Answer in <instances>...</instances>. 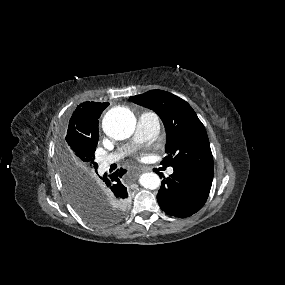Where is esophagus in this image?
<instances>
[{
    "label": "esophagus",
    "instance_id": "34e87169",
    "mask_svg": "<svg viewBox=\"0 0 285 285\" xmlns=\"http://www.w3.org/2000/svg\"><path fill=\"white\" fill-rule=\"evenodd\" d=\"M141 171L142 172H149V171H151V168L147 167V166H143V167H141Z\"/></svg>",
    "mask_w": 285,
    "mask_h": 285
}]
</instances>
